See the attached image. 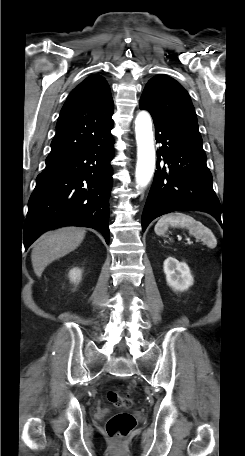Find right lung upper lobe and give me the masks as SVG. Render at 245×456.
I'll list each match as a JSON object with an SVG mask.
<instances>
[{
  "label": "right lung upper lobe",
  "instance_id": "obj_1",
  "mask_svg": "<svg viewBox=\"0 0 245 456\" xmlns=\"http://www.w3.org/2000/svg\"><path fill=\"white\" fill-rule=\"evenodd\" d=\"M110 87L91 75L69 94L58 118L46 165L67 159L93 145L113 126Z\"/></svg>",
  "mask_w": 245,
  "mask_h": 456
}]
</instances>
